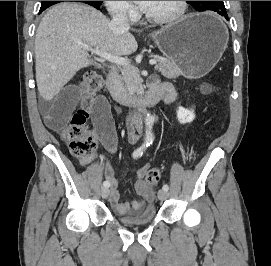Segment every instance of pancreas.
<instances>
[{
  "instance_id": "1",
  "label": "pancreas",
  "mask_w": 271,
  "mask_h": 266,
  "mask_svg": "<svg viewBox=\"0 0 271 266\" xmlns=\"http://www.w3.org/2000/svg\"><path fill=\"white\" fill-rule=\"evenodd\" d=\"M154 59L157 61L155 70L160 72L163 76L167 78H177L181 75V70L173 60L159 56H154ZM122 75L124 86L129 92H142V78L137 68L124 67Z\"/></svg>"
}]
</instances>
